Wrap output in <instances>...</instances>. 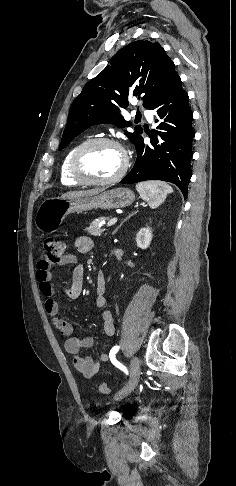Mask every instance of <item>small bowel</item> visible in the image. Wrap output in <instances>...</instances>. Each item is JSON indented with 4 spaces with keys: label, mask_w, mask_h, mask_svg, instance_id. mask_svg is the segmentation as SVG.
Here are the masks:
<instances>
[{
    "label": "small bowel",
    "mask_w": 236,
    "mask_h": 486,
    "mask_svg": "<svg viewBox=\"0 0 236 486\" xmlns=\"http://www.w3.org/2000/svg\"><path fill=\"white\" fill-rule=\"evenodd\" d=\"M75 247L80 253H89L94 248L93 240L88 236H79L75 240ZM52 262L43 258L37 263V280L40 292L46 297L45 309L51 317L52 325L65 337L64 349L67 354L72 356L76 370L85 378H93L99 373L101 365L95 361L85 350L93 345L91 337L78 338L74 336L73 326L70 322L59 317L60 305L54 298L52 280ZM56 264L72 265L71 278L69 284L63 287L65 294L70 299H77L82 294L84 283V266L73 254L64 255ZM107 298L105 296V277L102 272L97 277V297L96 305L101 311L103 331L106 336L111 337L115 333L114 318L107 309ZM110 355L106 349L100 353L102 362L109 361Z\"/></svg>",
    "instance_id": "1"
}]
</instances>
